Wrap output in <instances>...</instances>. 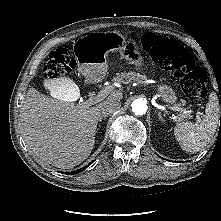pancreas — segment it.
<instances>
[{
    "label": "pancreas",
    "mask_w": 221,
    "mask_h": 221,
    "mask_svg": "<svg viewBox=\"0 0 221 221\" xmlns=\"http://www.w3.org/2000/svg\"><path fill=\"white\" fill-rule=\"evenodd\" d=\"M144 79H146L145 75H141L139 73L130 71V72L117 73L113 81L117 83H129L132 81H142ZM183 109L186 111L185 108ZM179 117L180 119H187V118H190L191 116L190 114L185 112V113L180 114Z\"/></svg>",
    "instance_id": "obj_1"
}]
</instances>
